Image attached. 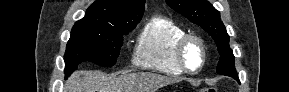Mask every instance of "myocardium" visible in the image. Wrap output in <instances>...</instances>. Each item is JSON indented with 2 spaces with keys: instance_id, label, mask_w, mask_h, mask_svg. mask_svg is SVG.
<instances>
[{
  "instance_id": "obj_1",
  "label": "myocardium",
  "mask_w": 289,
  "mask_h": 92,
  "mask_svg": "<svg viewBox=\"0 0 289 92\" xmlns=\"http://www.w3.org/2000/svg\"><path fill=\"white\" fill-rule=\"evenodd\" d=\"M196 43L199 45L201 49V63L196 69H190L185 61V51L187 46L190 43ZM176 57L179 66L181 69L189 74H197L199 73L203 67L205 66L206 60H207V47L205 44V41L196 34H188L186 33L179 41L176 46Z\"/></svg>"
}]
</instances>
